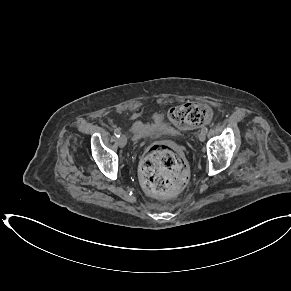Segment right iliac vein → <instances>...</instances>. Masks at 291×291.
Listing matches in <instances>:
<instances>
[{"instance_id":"right-iliac-vein-1","label":"right iliac vein","mask_w":291,"mask_h":291,"mask_svg":"<svg viewBox=\"0 0 291 291\" xmlns=\"http://www.w3.org/2000/svg\"><path fill=\"white\" fill-rule=\"evenodd\" d=\"M118 143L120 147H124L127 144V137L125 135H121L118 139Z\"/></svg>"}]
</instances>
